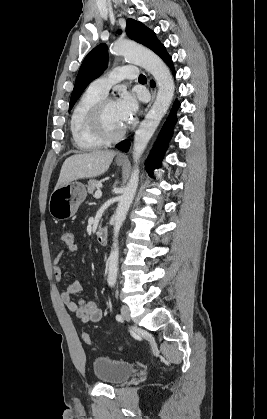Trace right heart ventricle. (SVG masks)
I'll return each mask as SVG.
<instances>
[{
    "instance_id": "e07e8e85",
    "label": "right heart ventricle",
    "mask_w": 267,
    "mask_h": 419,
    "mask_svg": "<svg viewBox=\"0 0 267 419\" xmlns=\"http://www.w3.org/2000/svg\"><path fill=\"white\" fill-rule=\"evenodd\" d=\"M104 96L89 87L73 108L70 117V131L73 143L80 151H92L105 144L94 135L89 123L91 109Z\"/></svg>"
}]
</instances>
